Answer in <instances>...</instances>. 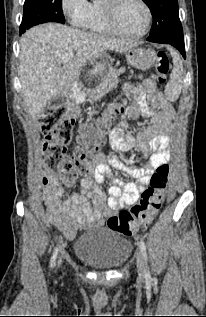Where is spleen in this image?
I'll return each mask as SVG.
<instances>
[{"instance_id":"spleen-1","label":"spleen","mask_w":206,"mask_h":317,"mask_svg":"<svg viewBox=\"0 0 206 317\" xmlns=\"http://www.w3.org/2000/svg\"><path fill=\"white\" fill-rule=\"evenodd\" d=\"M169 51L173 57L174 67L170 74V80L165 86L164 94L167 100L174 102L179 98L182 89L183 65L179 54L171 48Z\"/></svg>"}]
</instances>
